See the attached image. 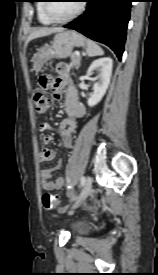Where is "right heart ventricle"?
I'll list each match as a JSON object with an SVG mask.
<instances>
[{
  "label": "right heart ventricle",
  "mask_w": 158,
  "mask_h": 275,
  "mask_svg": "<svg viewBox=\"0 0 158 275\" xmlns=\"http://www.w3.org/2000/svg\"><path fill=\"white\" fill-rule=\"evenodd\" d=\"M43 2H45V1L40 0L37 4V17L41 24L50 25L53 22L51 20H49L48 17L46 16V14L44 12V4L45 3H43Z\"/></svg>",
  "instance_id": "1"
}]
</instances>
